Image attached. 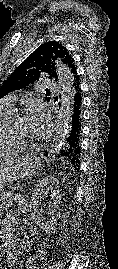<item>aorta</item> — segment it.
<instances>
[{"label": "aorta", "instance_id": "obj_1", "mask_svg": "<svg viewBox=\"0 0 118 269\" xmlns=\"http://www.w3.org/2000/svg\"><path fill=\"white\" fill-rule=\"evenodd\" d=\"M56 71L62 89L61 109L52 142L48 148V159H53L61 151L69 132L72 115L73 77L69 68L60 60L56 61Z\"/></svg>", "mask_w": 118, "mask_h": 269}]
</instances>
